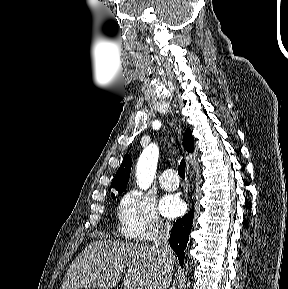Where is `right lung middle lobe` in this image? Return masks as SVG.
I'll return each instance as SVG.
<instances>
[{"mask_svg": "<svg viewBox=\"0 0 288 289\" xmlns=\"http://www.w3.org/2000/svg\"><path fill=\"white\" fill-rule=\"evenodd\" d=\"M119 193H122L123 191H118ZM112 198L115 199V195L112 194Z\"/></svg>", "mask_w": 288, "mask_h": 289, "instance_id": "1", "label": "right lung middle lobe"}]
</instances>
